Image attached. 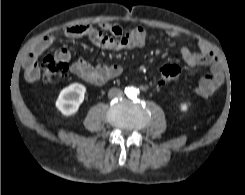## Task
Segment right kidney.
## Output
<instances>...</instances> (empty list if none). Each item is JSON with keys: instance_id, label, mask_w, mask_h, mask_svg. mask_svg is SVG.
<instances>
[{"instance_id": "right-kidney-1", "label": "right kidney", "mask_w": 245, "mask_h": 195, "mask_svg": "<svg viewBox=\"0 0 245 195\" xmlns=\"http://www.w3.org/2000/svg\"><path fill=\"white\" fill-rule=\"evenodd\" d=\"M86 87L73 83L63 88L56 100V108L64 115L71 116L77 113L79 106L84 101Z\"/></svg>"}]
</instances>
